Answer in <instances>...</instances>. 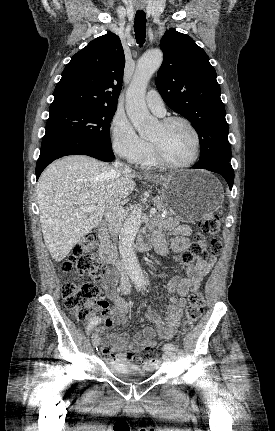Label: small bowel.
<instances>
[{
	"label": "small bowel",
	"mask_w": 275,
	"mask_h": 431,
	"mask_svg": "<svg viewBox=\"0 0 275 431\" xmlns=\"http://www.w3.org/2000/svg\"><path fill=\"white\" fill-rule=\"evenodd\" d=\"M164 233L172 236L170 243L167 242ZM192 235V228L186 224H179L176 219H166L161 229L154 231L153 243L156 251L160 255H166L171 249L174 252H184L189 247V237ZM200 245L205 248V242L200 241ZM215 259L198 261L190 266L187 277L172 276L168 281V290L172 293L170 302L165 305V317L153 309H148L145 313L146 319L154 326L142 327L135 336L127 334L108 333L110 329L127 321L128 305L117 292V274L114 271L105 273L102 279V286L108 298L114 306L103 310L105 318L101 332V351L109 363H131L138 362L139 353L147 348H152L157 344V340H169L176 333L186 305L185 298L196 292L200 283L213 268Z\"/></svg>",
	"instance_id": "obj_1"
}]
</instances>
